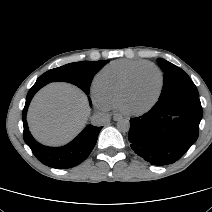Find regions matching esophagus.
<instances>
[{
    "mask_svg": "<svg viewBox=\"0 0 212 212\" xmlns=\"http://www.w3.org/2000/svg\"><path fill=\"white\" fill-rule=\"evenodd\" d=\"M121 119H123V116H122V115H120V114H118V113H115V114L113 115V120H114V121H119V120H121Z\"/></svg>",
    "mask_w": 212,
    "mask_h": 212,
    "instance_id": "obj_1",
    "label": "esophagus"
}]
</instances>
